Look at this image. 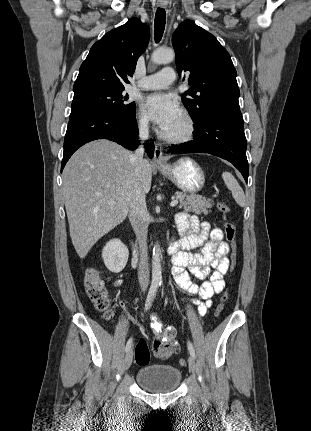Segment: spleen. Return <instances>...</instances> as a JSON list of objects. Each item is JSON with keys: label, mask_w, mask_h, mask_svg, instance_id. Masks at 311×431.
<instances>
[{"label": "spleen", "mask_w": 311, "mask_h": 431, "mask_svg": "<svg viewBox=\"0 0 311 431\" xmlns=\"http://www.w3.org/2000/svg\"><path fill=\"white\" fill-rule=\"evenodd\" d=\"M222 178L224 180V184H225L226 188H228V190H231L232 196H233L236 204H238V206H241V208H244L246 198H245L244 192H243L242 188H240L237 180H235L234 176H232V174H230V172H223Z\"/></svg>", "instance_id": "spleen-1"}]
</instances>
